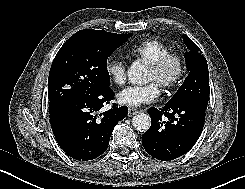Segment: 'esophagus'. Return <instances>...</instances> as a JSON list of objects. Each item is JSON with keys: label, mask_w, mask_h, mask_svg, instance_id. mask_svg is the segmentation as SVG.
<instances>
[{"label": "esophagus", "mask_w": 245, "mask_h": 189, "mask_svg": "<svg viewBox=\"0 0 245 189\" xmlns=\"http://www.w3.org/2000/svg\"><path fill=\"white\" fill-rule=\"evenodd\" d=\"M138 112V110L136 108L130 107L128 109V116L131 117L133 115H135Z\"/></svg>", "instance_id": "esophagus-1"}]
</instances>
